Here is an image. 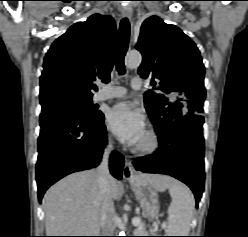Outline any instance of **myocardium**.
<instances>
[{
  "instance_id": "1",
  "label": "myocardium",
  "mask_w": 248,
  "mask_h": 237,
  "mask_svg": "<svg viewBox=\"0 0 248 237\" xmlns=\"http://www.w3.org/2000/svg\"><path fill=\"white\" fill-rule=\"evenodd\" d=\"M145 141L137 144L135 151L140 155H150L160 148V138L154 129H149L145 134Z\"/></svg>"
}]
</instances>
